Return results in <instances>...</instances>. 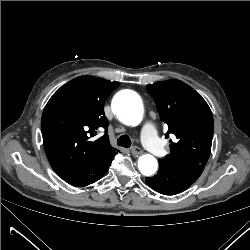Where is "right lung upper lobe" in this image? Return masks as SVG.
I'll return each instance as SVG.
<instances>
[{
	"instance_id": "cb5924a9",
	"label": "right lung upper lobe",
	"mask_w": 250,
	"mask_h": 250,
	"mask_svg": "<svg viewBox=\"0 0 250 250\" xmlns=\"http://www.w3.org/2000/svg\"><path fill=\"white\" fill-rule=\"evenodd\" d=\"M118 85L116 81L85 75L69 81L50 98L41 130L48 160L56 173L84 169L117 151L109 143L103 107ZM102 129L105 134L93 140Z\"/></svg>"
}]
</instances>
